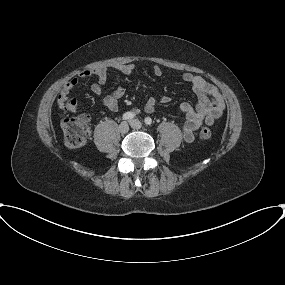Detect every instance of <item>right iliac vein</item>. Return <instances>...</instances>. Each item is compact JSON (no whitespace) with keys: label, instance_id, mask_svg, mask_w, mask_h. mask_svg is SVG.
<instances>
[{"label":"right iliac vein","instance_id":"obj_1","mask_svg":"<svg viewBox=\"0 0 285 285\" xmlns=\"http://www.w3.org/2000/svg\"><path fill=\"white\" fill-rule=\"evenodd\" d=\"M119 131L121 134H126L129 131V125L127 122H122L119 125Z\"/></svg>","mask_w":285,"mask_h":285}]
</instances>
